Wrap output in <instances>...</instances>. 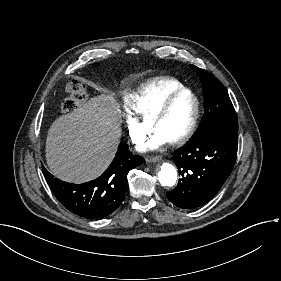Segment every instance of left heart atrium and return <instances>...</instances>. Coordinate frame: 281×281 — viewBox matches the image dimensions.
I'll return each instance as SVG.
<instances>
[{
  "instance_id": "left-heart-atrium-1",
  "label": "left heart atrium",
  "mask_w": 281,
  "mask_h": 281,
  "mask_svg": "<svg viewBox=\"0 0 281 281\" xmlns=\"http://www.w3.org/2000/svg\"><path fill=\"white\" fill-rule=\"evenodd\" d=\"M166 143L167 141L162 136H160L157 133H154L153 137L140 147V150L142 151L158 150Z\"/></svg>"
}]
</instances>
